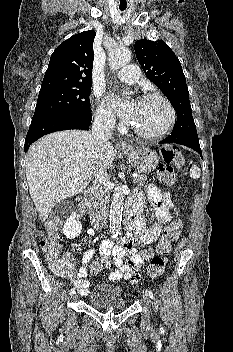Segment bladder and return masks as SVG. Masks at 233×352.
<instances>
[{
    "label": "bladder",
    "mask_w": 233,
    "mask_h": 352,
    "mask_svg": "<svg viewBox=\"0 0 233 352\" xmlns=\"http://www.w3.org/2000/svg\"><path fill=\"white\" fill-rule=\"evenodd\" d=\"M89 304L96 309L121 310L128 306V295L120 286L99 284L91 292Z\"/></svg>",
    "instance_id": "bladder-1"
}]
</instances>
